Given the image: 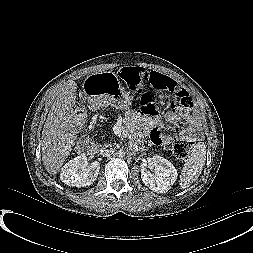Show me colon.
Segmentation results:
<instances>
[{"label":"colon","instance_id":"1","mask_svg":"<svg viewBox=\"0 0 253 253\" xmlns=\"http://www.w3.org/2000/svg\"><path fill=\"white\" fill-rule=\"evenodd\" d=\"M121 78L127 88L134 94L141 96L143 111L149 116H156L160 112L158 92L164 91L171 95L170 103L173 106L188 107L191 98L182 89L169 85L162 76L141 67H125L120 71ZM194 133L187 131L177 137L172 145V153L176 160H184L193 144Z\"/></svg>","mask_w":253,"mask_h":253}]
</instances>
